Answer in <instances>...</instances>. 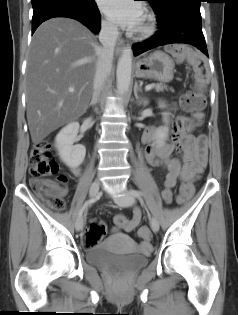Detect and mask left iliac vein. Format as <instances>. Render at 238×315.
I'll return each mask as SVG.
<instances>
[{"label": "left iliac vein", "instance_id": "left-iliac-vein-1", "mask_svg": "<svg viewBox=\"0 0 238 315\" xmlns=\"http://www.w3.org/2000/svg\"><path fill=\"white\" fill-rule=\"evenodd\" d=\"M113 199L115 203H117L120 206H130L134 202V197L127 192L123 193H116L113 195ZM150 226L154 232L159 231V222L155 217H152L150 220Z\"/></svg>", "mask_w": 238, "mask_h": 315}]
</instances>
